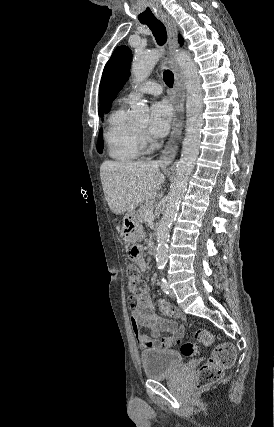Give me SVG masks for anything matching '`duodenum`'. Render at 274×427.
Instances as JSON below:
<instances>
[{
  "instance_id": "410a0bca",
  "label": "duodenum",
  "mask_w": 274,
  "mask_h": 427,
  "mask_svg": "<svg viewBox=\"0 0 274 427\" xmlns=\"http://www.w3.org/2000/svg\"><path fill=\"white\" fill-rule=\"evenodd\" d=\"M150 252L152 255H155L157 253V247L156 246H152L150 249Z\"/></svg>"
}]
</instances>
